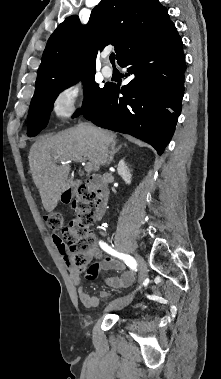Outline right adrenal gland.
I'll return each instance as SVG.
<instances>
[{"label":"right adrenal gland","instance_id":"2a0ac1e0","mask_svg":"<svg viewBox=\"0 0 221 379\" xmlns=\"http://www.w3.org/2000/svg\"><path fill=\"white\" fill-rule=\"evenodd\" d=\"M122 146H123L122 144L119 145L118 147H116V144L111 145L110 158L107 163L108 165L111 164V162H113L115 154L121 149Z\"/></svg>","mask_w":221,"mask_h":379}]
</instances>
